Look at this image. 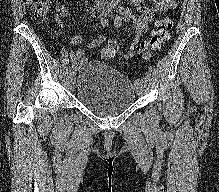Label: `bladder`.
Instances as JSON below:
<instances>
[{"label":"bladder","instance_id":"bladder-1","mask_svg":"<svg viewBox=\"0 0 219 192\" xmlns=\"http://www.w3.org/2000/svg\"><path fill=\"white\" fill-rule=\"evenodd\" d=\"M76 84L79 103L100 116H114L136 101L133 82L105 63L90 62L80 67Z\"/></svg>","mask_w":219,"mask_h":192}]
</instances>
